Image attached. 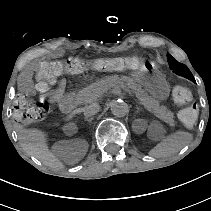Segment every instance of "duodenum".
Masks as SVG:
<instances>
[{"instance_id":"obj_1","label":"duodenum","mask_w":211,"mask_h":211,"mask_svg":"<svg viewBox=\"0 0 211 211\" xmlns=\"http://www.w3.org/2000/svg\"><path fill=\"white\" fill-rule=\"evenodd\" d=\"M59 107L62 112L70 113L75 107L74 99L71 95L65 96L59 103Z\"/></svg>"}]
</instances>
